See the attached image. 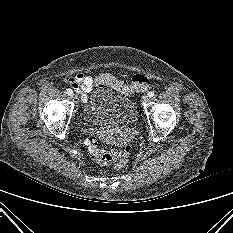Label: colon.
Segmentation results:
<instances>
[{
	"mask_svg": "<svg viewBox=\"0 0 233 233\" xmlns=\"http://www.w3.org/2000/svg\"><path fill=\"white\" fill-rule=\"evenodd\" d=\"M93 86H109L122 94H128L133 90L144 91L150 86L149 79L142 75L136 74L132 77L131 84L118 80L110 74H100L92 78ZM89 155L99 164H113L116 168L124 167L128 162L130 146L122 149L108 150L105 146L93 138L86 140Z\"/></svg>",
	"mask_w": 233,
	"mask_h": 233,
	"instance_id": "5ec220e1",
	"label": "colon"
}]
</instances>
